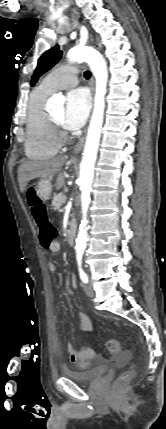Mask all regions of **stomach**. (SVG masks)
<instances>
[{"label":"stomach","mask_w":166,"mask_h":429,"mask_svg":"<svg viewBox=\"0 0 166 429\" xmlns=\"http://www.w3.org/2000/svg\"><path fill=\"white\" fill-rule=\"evenodd\" d=\"M36 196L43 201L50 199L52 186L49 178L41 179L34 188Z\"/></svg>","instance_id":"obj_1"}]
</instances>
